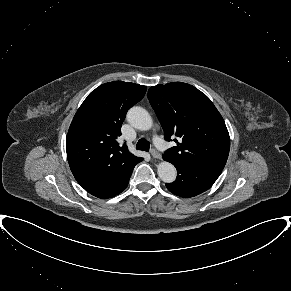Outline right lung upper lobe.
Instances as JSON below:
<instances>
[{
  "instance_id": "cb5924a9",
  "label": "right lung upper lobe",
  "mask_w": 291,
  "mask_h": 291,
  "mask_svg": "<svg viewBox=\"0 0 291 291\" xmlns=\"http://www.w3.org/2000/svg\"><path fill=\"white\" fill-rule=\"evenodd\" d=\"M147 87L115 81L105 83L84 100L66 138L70 169L77 182L98 198H110L128 185L133 168L143 158L120 146L121 126L130 107Z\"/></svg>"
}]
</instances>
